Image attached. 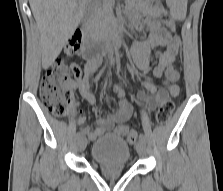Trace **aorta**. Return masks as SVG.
<instances>
[{
	"label": "aorta",
	"instance_id": "1",
	"mask_svg": "<svg viewBox=\"0 0 223 191\" xmlns=\"http://www.w3.org/2000/svg\"><path fill=\"white\" fill-rule=\"evenodd\" d=\"M109 52H110V61L113 62L114 61L113 52L111 49L109 50Z\"/></svg>",
	"mask_w": 223,
	"mask_h": 191
}]
</instances>
